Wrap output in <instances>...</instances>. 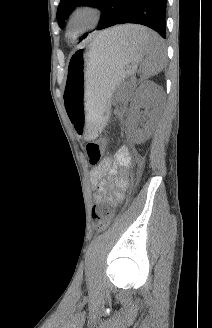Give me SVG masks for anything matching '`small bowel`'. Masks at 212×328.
I'll list each match as a JSON object with an SVG mask.
<instances>
[{"label": "small bowel", "mask_w": 212, "mask_h": 328, "mask_svg": "<svg viewBox=\"0 0 212 328\" xmlns=\"http://www.w3.org/2000/svg\"><path fill=\"white\" fill-rule=\"evenodd\" d=\"M131 165V157L126 147L119 148L112 156L102 159L90 172V181L95 190L97 203L117 205L123 200L124 191L128 185V168ZM104 177H115V190L111 196H107L109 185Z\"/></svg>", "instance_id": "small-bowel-1"}]
</instances>
